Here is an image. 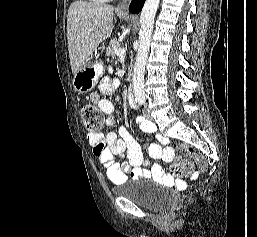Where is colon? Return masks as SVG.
Listing matches in <instances>:
<instances>
[{
	"label": "colon",
	"mask_w": 257,
	"mask_h": 237,
	"mask_svg": "<svg viewBox=\"0 0 257 237\" xmlns=\"http://www.w3.org/2000/svg\"><path fill=\"white\" fill-rule=\"evenodd\" d=\"M82 122L85 128L94 135H100L104 128V120L101 112L93 105H86L82 109ZM178 151L190 159L200 162L202 165L201 155L189 144H180ZM193 164L190 160H178L172 163L171 171L178 176L187 175L191 172Z\"/></svg>",
	"instance_id": "colon-1"
}]
</instances>
